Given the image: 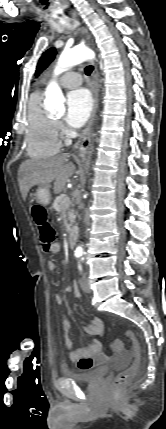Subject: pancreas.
Segmentation results:
<instances>
[{"label": "pancreas", "instance_id": "obj_1", "mask_svg": "<svg viewBox=\"0 0 166 429\" xmlns=\"http://www.w3.org/2000/svg\"><path fill=\"white\" fill-rule=\"evenodd\" d=\"M67 196H59L54 200L53 209L57 212H61L64 216L67 214L71 223L74 222V211L70 210L69 207L72 206V203L66 201Z\"/></svg>", "mask_w": 166, "mask_h": 429}]
</instances>
